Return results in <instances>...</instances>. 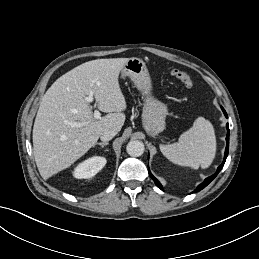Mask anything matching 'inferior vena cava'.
Returning <instances> with one entry per match:
<instances>
[{
  "mask_svg": "<svg viewBox=\"0 0 259 259\" xmlns=\"http://www.w3.org/2000/svg\"><path fill=\"white\" fill-rule=\"evenodd\" d=\"M116 134H117V131H116V130H113V129L105 130V131L101 134L100 139H101L103 142H107V141L111 140Z\"/></svg>",
  "mask_w": 259,
  "mask_h": 259,
  "instance_id": "inferior-vena-cava-1",
  "label": "inferior vena cava"
}]
</instances>
